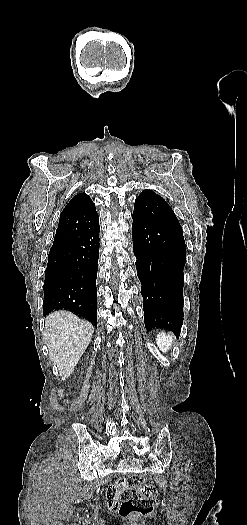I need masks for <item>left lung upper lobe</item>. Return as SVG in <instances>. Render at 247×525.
<instances>
[{
    "mask_svg": "<svg viewBox=\"0 0 247 525\" xmlns=\"http://www.w3.org/2000/svg\"><path fill=\"white\" fill-rule=\"evenodd\" d=\"M132 217L156 222L183 236L182 228L171 207L152 190L145 189L136 198Z\"/></svg>",
    "mask_w": 247,
    "mask_h": 525,
    "instance_id": "5c2ea615",
    "label": "left lung upper lobe"
}]
</instances>
